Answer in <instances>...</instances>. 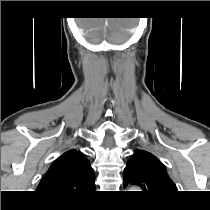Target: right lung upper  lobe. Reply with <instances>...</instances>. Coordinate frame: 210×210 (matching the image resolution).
Here are the masks:
<instances>
[{
    "instance_id": "obj_1",
    "label": "right lung upper lobe",
    "mask_w": 210,
    "mask_h": 210,
    "mask_svg": "<svg viewBox=\"0 0 210 210\" xmlns=\"http://www.w3.org/2000/svg\"><path fill=\"white\" fill-rule=\"evenodd\" d=\"M90 162L79 150H69L57 158L40 181L37 192L56 202L85 198L95 189Z\"/></svg>"
}]
</instances>
